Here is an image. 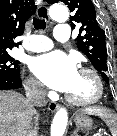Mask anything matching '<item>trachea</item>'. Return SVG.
Segmentation results:
<instances>
[{"label":"trachea","instance_id":"1","mask_svg":"<svg viewBox=\"0 0 117 136\" xmlns=\"http://www.w3.org/2000/svg\"><path fill=\"white\" fill-rule=\"evenodd\" d=\"M33 25H34V28L37 30L46 28V22L44 19H38L33 17Z\"/></svg>","mask_w":117,"mask_h":136}]
</instances>
